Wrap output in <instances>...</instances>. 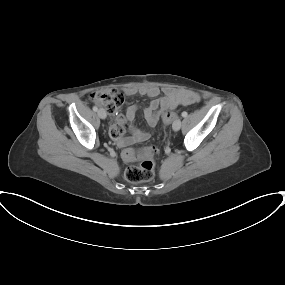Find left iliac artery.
<instances>
[{
  "mask_svg": "<svg viewBox=\"0 0 285 285\" xmlns=\"http://www.w3.org/2000/svg\"><path fill=\"white\" fill-rule=\"evenodd\" d=\"M187 115H188L187 112H182V114H181V116L184 118L187 117Z\"/></svg>",
  "mask_w": 285,
  "mask_h": 285,
  "instance_id": "left-iliac-artery-1",
  "label": "left iliac artery"
}]
</instances>
